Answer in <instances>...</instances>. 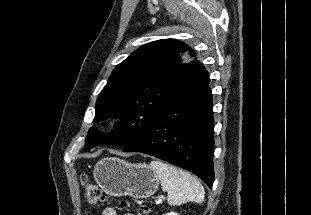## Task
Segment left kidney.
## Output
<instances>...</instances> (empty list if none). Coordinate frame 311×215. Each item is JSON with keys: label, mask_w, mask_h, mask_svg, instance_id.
<instances>
[{"label": "left kidney", "mask_w": 311, "mask_h": 215, "mask_svg": "<svg viewBox=\"0 0 311 215\" xmlns=\"http://www.w3.org/2000/svg\"><path fill=\"white\" fill-rule=\"evenodd\" d=\"M164 215H178V214L175 213V212H170V213H167V214H164Z\"/></svg>", "instance_id": "obj_1"}]
</instances>
